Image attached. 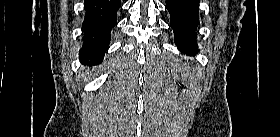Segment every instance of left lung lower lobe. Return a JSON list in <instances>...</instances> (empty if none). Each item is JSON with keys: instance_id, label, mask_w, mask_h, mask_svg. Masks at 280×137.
Returning a JSON list of instances; mask_svg holds the SVG:
<instances>
[{"instance_id": "0a47b994", "label": "left lung lower lobe", "mask_w": 280, "mask_h": 137, "mask_svg": "<svg viewBox=\"0 0 280 137\" xmlns=\"http://www.w3.org/2000/svg\"><path fill=\"white\" fill-rule=\"evenodd\" d=\"M199 2L200 0H166L174 40L183 53L194 54L198 51L195 28L199 25Z\"/></svg>"}]
</instances>
